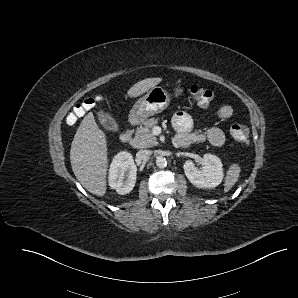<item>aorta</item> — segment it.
<instances>
[{"instance_id": "obj_1", "label": "aorta", "mask_w": 298, "mask_h": 298, "mask_svg": "<svg viewBox=\"0 0 298 298\" xmlns=\"http://www.w3.org/2000/svg\"><path fill=\"white\" fill-rule=\"evenodd\" d=\"M155 162H156L157 167H159V168H164L167 165V160L163 156H157Z\"/></svg>"}]
</instances>
